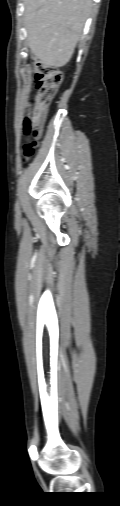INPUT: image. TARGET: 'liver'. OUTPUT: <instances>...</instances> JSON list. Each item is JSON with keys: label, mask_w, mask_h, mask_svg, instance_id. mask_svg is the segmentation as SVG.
<instances>
[{"label": "liver", "mask_w": 120, "mask_h": 506, "mask_svg": "<svg viewBox=\"0 0 120 506\" xmlns=\"http://www.w3.org/2000/svg\"><path fill=\"white\" fill-rule=\"evenodd\" d=\"M28 46L36 59L58 68L70 60L92 0H24Z\"/></svg>", "instance_id": "6515ba94"}]
</instances>
